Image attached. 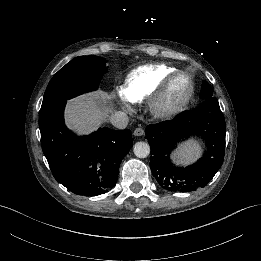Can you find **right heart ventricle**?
<instances>
[{
  "mask_svg": "<svg viewBox=\"0 0 261 261\" xmlns=\"http://www.w3.org/2000/svg\"><path fill=\"white\" fill-rule=\"evenodd\" d=\"M177 70L164 65L133 70L126 80V94L134 102H143Z\"/></svg>",
  "mask_w": 261,
  "mask_h": 261,
  "instance_id": "e07e8e85",
  "label": "right heart ventricle"
}]
</instances>
